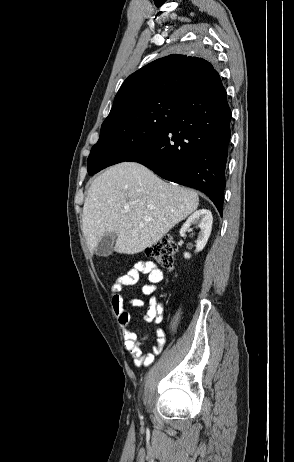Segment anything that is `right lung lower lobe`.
Segmentation results:
<instances>
[{"label": "right lung lower lobe", "mask_w": 294, "mask_h": 462, "mask_svg": "<svg viewBox=\"0 0 294 462\" xmlns=\"http://www.w3.org/2000/svg\"><path fill=\"white\" fill-rule=\"evenodd\" d=\"M178 114L125 161L143 164L160 177L204 192L222 215L231 110L221 79L185 97ZM88 157V173L101 170Z\"/></svg>", "instance_id": "1"}]
</instances>
